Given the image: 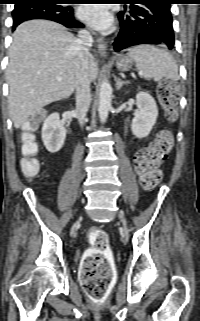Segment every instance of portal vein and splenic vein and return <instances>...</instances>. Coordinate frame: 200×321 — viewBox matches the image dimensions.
I'll use <instances>...</instances> for the list:
<instances>
[{"label": "portal vein and splenic vein", "mask_w": 200, "mask_h": 321, "mask_svg": "<svg viewBox=\"0 0 200 321\" xmlns=\"http://www.w3.org/2000/svg\"><path fill=\"white\" fill-rule=\"evenodd\" d=\"M58 81H62V78L60 77V78H58Z\"/></svg>", "instance_id": "1"}]
</instances>
